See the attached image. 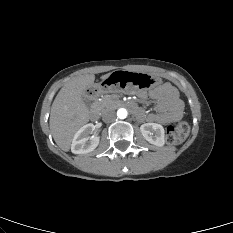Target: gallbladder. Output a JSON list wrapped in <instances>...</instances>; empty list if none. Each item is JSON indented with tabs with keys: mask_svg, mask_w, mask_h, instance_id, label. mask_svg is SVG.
<instances>
[{
	"mask_svg": "<svg viewBox=\"0 0 233 233\" xmlns=\"http://www.w3.org/2000/svg\"><path fill=\"white\" fill-rule=\"evenodd\" d=\"M83 101L86 104V106L89 107L91 105V102L87 98L83 97Z\"/></svg>",
	"mask_w": 233,
	"mask_h": 233,
	"instance_id": "bac80fb5",
	"label": "gallbladder"
}]
</instances>
